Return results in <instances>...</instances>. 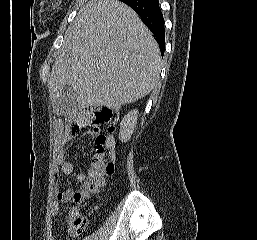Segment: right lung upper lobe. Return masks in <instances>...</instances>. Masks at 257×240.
Returning <instances> with one entry per match:
<instances>
[{
	"instance_id": "cb5924a9",
	"label": "right lung upper lobe",
	"mask_w": 257,
	"mask_h": 240,
	"mask_svg": "<svg viewBox=\"0 0 257 240\" xmlns=\"http://www.w3.org/2000/svg\"><path fill=\"white\" fill-rule=\"evenodd\" d=\"M120 1L124 2V1H127V0H120Z\"/></svg>"
}]
</instances>
